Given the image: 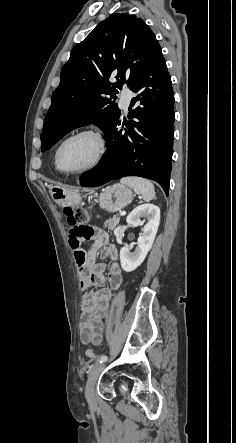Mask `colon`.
Masks as SVG:
<instances>
[{"mask_svg": "<svg viewBox=\"0 0 236 443\" xmlns=\"http://www.w3.org/2000/svg\"><path fill=\"white\" fill-rule=\"evenodd\" d=\"M64 215L68 224L73 226L71 233L73 235L81 237L83 240H90L92 238V228L89 225L90 214L89 212L80 207H67L64 209ZM85 355L88 358H94L95 352L89 348L86 350Z\"/></svg>", "mask_w": 236, "mask_h": 443, "instance_id": "colon-1", "label": "colon"}]
</instances>
